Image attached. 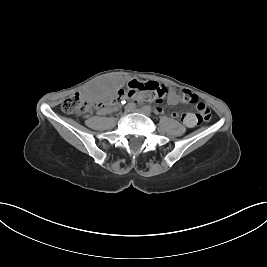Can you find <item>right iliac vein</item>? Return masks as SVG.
Returning a JSON list of instances; mask_svg holds the SVG:
<instances>
[{
    "label": "right iliac vein",
    "mask_w": 267,
    "mask_h": 267,
    "mask_svg": "<svg viewBox=\"0 0 267 267\" xmlns=\"http://www.w3.org/2000/svg\"><path fill=\"white\" fill-rule=\"evenodd\" d=\"M128 114V112L126 111V112H124L123 114H122V116H126Z\"/></svg>",
    "instance_id": "obj_1"
}]
</instances>
